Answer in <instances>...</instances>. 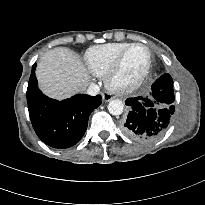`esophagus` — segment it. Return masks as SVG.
<instances>
[{
	"mask_svg": "<svg viewBox=\"0 0 205 205\" xmlns=\"http://www.w3.org/2000/svg\"><path fill=\"white\" fill-rule=\"evenodd\" d=\"M102 98L105 102H108L112 99V95L109 92H103Z\"/></svg>",
	"mask_w": 205,
	"mask_h": 205,
	"instance_id": "esophagus-1",
	"label": "esophagus"
}]
</instances>
